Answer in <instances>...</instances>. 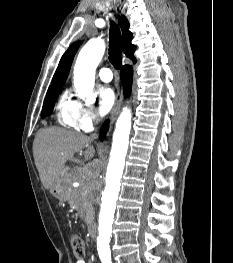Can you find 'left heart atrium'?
<instances>
[{
    "label": "left heart atrium",
    "mask_w": 233,
    "mask_h": 263,
    "mask_svg": "<svg viewBox=\"0 0 233 263\" xmlns=\"http://www.w3.org/2000/svg\"><path fill=\"white\" fill-rule=\"evenodd\" d=\"M116 102L115 93L110 87H102L99 90V107L98 112L101 116L109 113Z\"/></svg>",
    "instance_id": "1"
}]
</instances>
